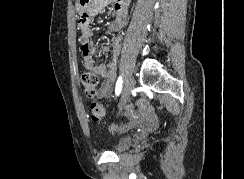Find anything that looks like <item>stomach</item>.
<instances>
[{"label": "stomach", "instance_id": "0dacf381", "mask_svg": "<svg viewBox=\"0 0 244 179\" xmlns=\"http://www.w3.org/2000/svg\"><path fill=\"white\" fill-rule=\"evenodd\" d=\"M88 2H90V0H77V7L84 8ZM77 12L78 14H85L86 11L85 9H78Z\"/></svg>", "mask_w": 244, "mask_h": 179}]
</instances>
